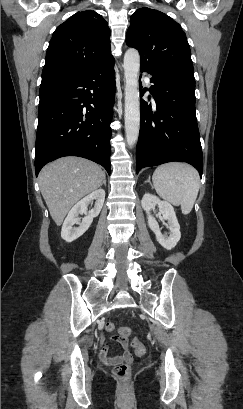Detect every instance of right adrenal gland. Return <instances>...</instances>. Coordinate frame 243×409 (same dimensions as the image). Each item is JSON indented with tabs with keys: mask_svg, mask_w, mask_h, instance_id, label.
<instances>
[{
	"mask_svg": "<svg viewBox=\"0 0 243 409\" xmlns=\"http://www.w3.org/2000/svg\"><path fill=\"white\" fill-rule=\"evenodd\" d=\"M102 184H104V186H106V177L103 178Z\"/></svg>",
	"mask_w": 243,
	"mask_h": 409,
	"instance_id": "right-adrenal-gland-1",
	"label": "right adrenal gland"
}]
</instances>
